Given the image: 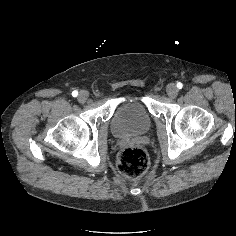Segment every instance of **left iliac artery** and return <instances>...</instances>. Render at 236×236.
Listing matches in <instances>:
<instances>
[{"instance_id":"44dca946","label":"left iliac artery","mask_w":236,"mask_h":236,"mask_svg":"<svg viewBox=\"0 0 236 236\" xmlns=\"http://www.w3.org/2000/svg\"><path fill=\"white\" fill-rule=\"evenodd\" d=\"M182 87H183V84H182L181 82H178V83H177V88H178V89H182Z\"/></svg>"}]
</instances>
